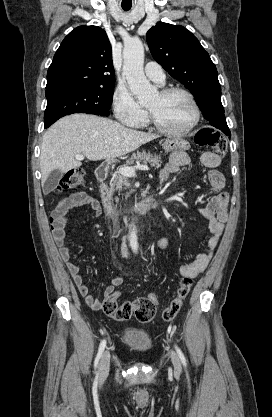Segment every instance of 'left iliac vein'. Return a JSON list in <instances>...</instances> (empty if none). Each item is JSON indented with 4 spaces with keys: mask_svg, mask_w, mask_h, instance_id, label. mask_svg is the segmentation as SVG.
<instances>
[{
    "mask_svg": "<svg viewBox=\"0 0 272 417\" xmlns=\"http://www.w3.org/2000/svg\"><path fill=\"white\" fill-rule=\"evenodd\" d=\"M170 354H171V360H172V363L174 365L175 370L180 371L181 370V363H180V360H179L178 356L173 351H171Z\"/></svg>",
    "mask_w": 272,
    "mask_h": 417,
    "instance_id": "1",
    "label": "left iliac vein"
}]
</instances>
